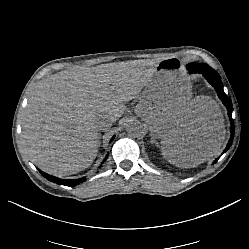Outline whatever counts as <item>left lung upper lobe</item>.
<instances>
[{
	"label": "left lung upper lobe",
	"instance_id": "1",
	"mask_svg": "<svg viewBox=\"0 0 249 249\" xmlns=\"http://www.w3.org/2000/svg\"><path fill=\"white\" fill-rule=\"evenodd\" d=\"M187 69L189 73H203L205 69H210V66L205 63H190Z\"/></svg>",
	"mask_w": 249,
	"mask_h": 249
}]
</instances>
